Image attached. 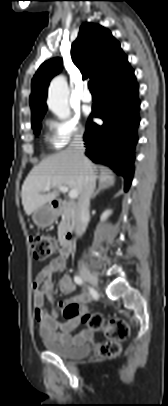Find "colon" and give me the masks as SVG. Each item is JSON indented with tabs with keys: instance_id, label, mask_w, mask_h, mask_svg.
<instances>
[{
	"instance_id": "1",
	"label": "colon",
	"mask_w": 168,
	"mask_h": 406,
	"mask_svg": "<svg viewBox=\"0 0 168 406\" xmlns=\"http://www.w3.org/2000/svg\"><path fill=\"white\" fill-rule=\"evenodd\" d=\"M30 247L33 258L36 261H44L52 257L57 250L56 240L44 233H33L30 238ZM79 312L75 307L68 306L64 315L70 319ZM82 322L93 331L103 333L107 341L100 344L99 355L102 357H114L120 352V342L129 335V327L122 319H106L99 312H85L81 316Z\"/></svg>"
}]
</instances>
